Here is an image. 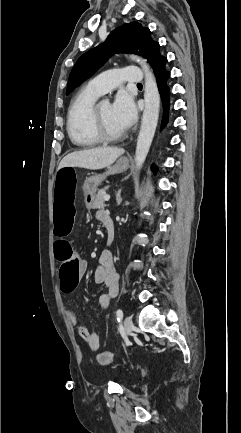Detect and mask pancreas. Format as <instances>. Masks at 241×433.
I'll return each instance as SVG.
<instances>
[{"label":"pancreas","mask_w":241,"mask_h":433,"mask_svg":"<svg viewBox=\"0 0 241 433\" xmlns=\"http://www.w3.org/2000/svg\"><path fill=\"white\" fill-rule=\"evenodd\" d=\"M106 195L105 189H101L95 196L94 202L92 204L93 209H102L106 206L104 203V197Z\"/></svg>","instance_id":"pancreas-1"}]
</instances>
